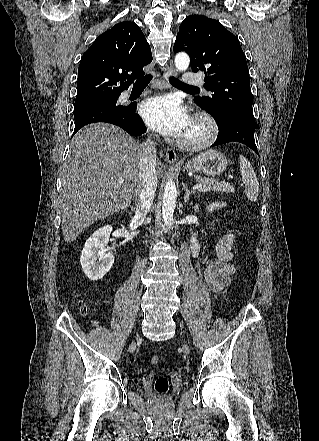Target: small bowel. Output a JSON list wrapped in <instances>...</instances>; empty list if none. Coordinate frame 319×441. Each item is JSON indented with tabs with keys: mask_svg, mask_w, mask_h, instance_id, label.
<instances>
[{
	"mask_svg": "<svg viewBox=\"0 0 319 441\" xmlns=\"http://www.w3.org/2000/svg\"><path fill=\"white\" fill-rule=\"evenodd\" d=\"M222 206L221 202L213 203L208 207V211H215ZM233 242L234 235L232 233L225 234L216 246L217 260L205 264V282L213 292H220L228 286L234 274V267L231 264ZM190 244L193 256L199 259L200 244L197 233L192 235Z\"/></svg>",
	"mask_w": 319,
	"mask_h": 441,
	"instance_id": "small-bowel-1",
	"label": "small bowel"
}]
</instances>
